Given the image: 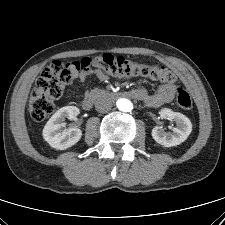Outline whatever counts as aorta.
Wrapping results in <instances>:
<instances>
[{
  "mask_svg": "<svg viewBox=\"0 0 225 225\" xmlns=\"http://www.w3.org/2000/svg\"><path fill=\"white\" fill-rule=\"evenodd\" d=\"M117 107L123 112H130L133 109V104L130 100L121 98L117 101Z\"/></svg>",
  "mask_w": 225,
  "mask_h": 225,
  "instance_id": "762f6f07",
  "label": "aorta"
}]
</instances>
